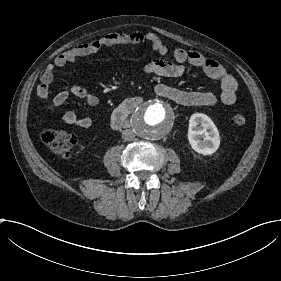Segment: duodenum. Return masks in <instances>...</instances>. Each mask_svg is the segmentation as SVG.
I'll use <instances>...</instances> for the list:
<instances>
[{"label":"duodenum","instance_id":"1","mask_svg":"<svg viewBox=\"0 0 281 281\" xmlns=\"http://www.w3.org/2000/svg\"><path fill=\"white\" fill-rule=\"evenodd\" d=\"M141 99L138 97L128 98L116 107L111 116V125L119 129L127 124L129 115L140 105Z\"/></svg>","mask_w":281,"mask_h":281}]
</instances>
